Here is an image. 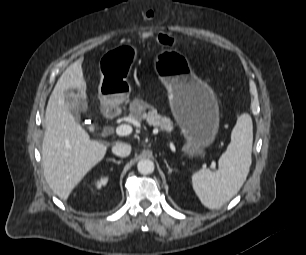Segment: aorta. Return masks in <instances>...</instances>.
<instances>
[{"instance_id":"762f6f07","label":"aorta","mask_w":306,"mask_h":255,"mask_svg":"<svg viewBox=\"0 0 306 255\" xmlns=\"http://www.w3.org/2000/svg\"><path fill=\"white\" fill-rule=\"evenodd\" d=\"M154 168V162L150 159H141L137 164L138 171L144 175L151 174Z\"/></svg>"}]
</instances>
